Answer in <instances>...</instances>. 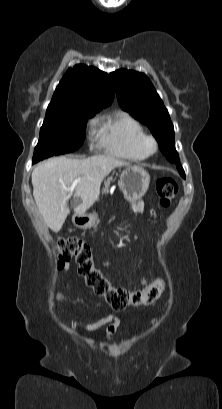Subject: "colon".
<instances>
[{"instance_id":"5ec220e1","label":"colon","mask_w":222,"mask_h":409,"mask_svg":"<svg viewBox=\"0 0 222 409\" xmlns=\"http://www.w3.org/2000/svg\"><path fill=\"white\" fill-rule=\"evenodd\" d=\"M155 188L160 204L163 207L170 206L178 192L176 181L168 176L161 177L157 179ZM56 251L58 267L63 268L67 261L74 258L78 265V272L83 276L86 284L95 294L102 296L114 310H123L129 306L149 305L158 299L163 290L162 281H157L140 291L113 286L96 267L89 244L81 239L62 238L56 243Z\"/></svg>"}]
</instances>
